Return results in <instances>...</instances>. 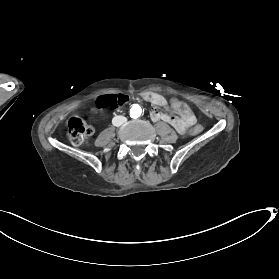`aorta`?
<instances>
[{
  "mask_svg": "<svg viewBox=\"0 0 279 279\" xmlns=\"http://www.w3.org/2000/svg\"><path fill=\"white\" fill-rule=\"evenodd\" d=\"M142 114V109L139 105H133L132 108L130 109V116L132 118H138Z\"/></svg>",
  "mask_w": 279,
  "mask_h": 279,
  "instance_id": "762f6f07",
  "label": "aorta"
}]
</instances>
